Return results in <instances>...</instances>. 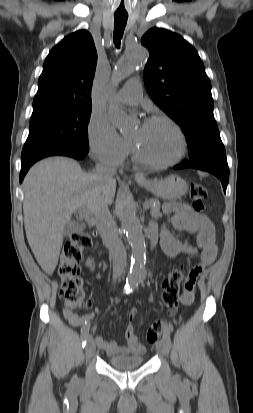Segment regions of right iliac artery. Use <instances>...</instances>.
Instances as JSON below:
<instances>
[{"label": "right iliac artery", "instance_id": "82829eb1", "mask_svg": "<svg viewBox=\"0 0 253 413\" xmlns=\"http://www.w3.org/2000/svg\"><path fill=\"white\" fill-rule=\"evenodd\" d=\"M88 335H89V329H86L85 331H83L81 333V337H82V347L84 348L86 346V342L88 339Z\"/></svg>", "mask_w": 253, "mask_h": 413}]
</instances>
